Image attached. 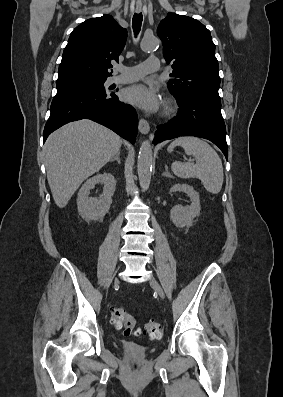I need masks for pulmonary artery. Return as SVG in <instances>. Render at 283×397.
Listing matches in <instances>:
<instances>
[{
    "label": "pulmonary artery",
    "mask_w": 283,
    "mask_h": 397,
    "mask_svg": "<svg viewBox=\"0 0 283 397\" xmlns=\"http://www.w3.org/2000/svg\"><path fill=\"white\" fill-rule=\"evenodd\" d=\"M116 69L120 74L110 77L108 80L109 84H126L138 81L148 73L160 71L161 66L157 57H150L138 65L130 67L118 65Z\"/></svg>",
    "instance_id": "e3ab8cb5"
}]
</instances>
